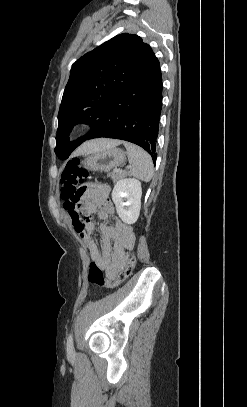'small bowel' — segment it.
I'll use <instances>...</instances> for the list:
<instances>
[{
	"label": "small bowel",
	"mask_w": 247,
	"mask_h": 407,
	"mask_svg": "<svg viewBox=\"0 0 247 407\" xmlns=\"http://www.w3.org/2000/svg\"><path fill=\"white\" fill-rule=\"evenodd\" d=\"M109 193L108 185H91L86 189L82 202L73 204L65 200L63 207L91 259L105 271L108 279L113 280L127 264L135 236L130 226L115 218ZM93 215L102 220L100 247L94 237Z\"/></svg>",
	"instance_id": "1"
}]
</instances>
